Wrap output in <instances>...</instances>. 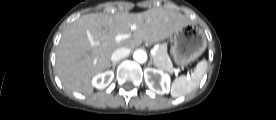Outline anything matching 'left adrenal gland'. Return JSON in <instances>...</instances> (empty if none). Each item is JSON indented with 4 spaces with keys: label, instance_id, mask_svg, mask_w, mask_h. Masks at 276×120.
<instances>
[{
    "label": "left adrenal gland",
    "instance_id": "left-adrenal-gland-1",
    "mask_svg": "<svg viewBox=\"0 0 276 120\" xmlns=\"http://www.w3.org/2000/svg\"><path fill=\"white\" fill-rule=\"evenodd\" d=\"M153 64V57L150 58V62H149V65H152Z\"/></svg>",
    "mask_w": 276,
    "mask_h": 120
}]
</instances>
